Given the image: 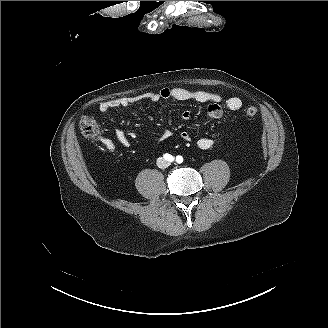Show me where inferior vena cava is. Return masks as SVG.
Here are the masks:
<instances>
[{"label": "inferior vena cava", "instance_id": "602c4592", "mask_svg": "<svg viewBox=\"0 0 328 328\" xmlns=\"http://www.w3.org/2000/svg\"><path fill=\"white\" fill-rule=\"evenodd\" d=\"M157 163H159V164H166L167 161L164 158H158Z\"/></svg>", "mask_w": 328, "mask_h": 328}]
</instances>
